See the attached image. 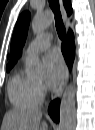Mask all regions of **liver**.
Masks as SVG:
<instances>
[{
    "instance_id": "6515ba94",
    "label": "liver",
    "mask_w": 95,
    "mask_h": 130,
    "mask_svg": "<svg viewBox=\"0 0 95 130\" xmlns=\"http://www.w3.org/2000/svg\"><path fill=\"white\" fill-rule=\"evenodd\" d=\"M41 119L39 110L11 109L4 115L1 130H48L47 122Z\"/></svg>"
}]
</instances>
